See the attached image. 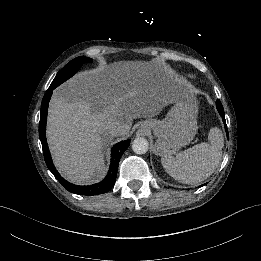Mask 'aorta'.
Segmentation results:
<instances>
[{"label":"aorta","instance_id":"obj_1","mask_svg":"<svg viewBox=\"0 0 261 261\" xmlns=\"http://www.w3.org/2000/svg\"><path fill=\"white\" fill-rule=\"evenodd\" d=\"M149 143L144 137H137L132 142V150L136 154H145L148 151Z\"/></svg>","mask_w":261,"mask_h":261}]
</instances>
